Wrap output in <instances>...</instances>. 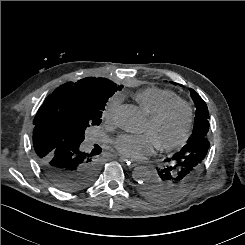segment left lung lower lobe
Returning a JSON list of instances; mask_svg holds the SVG:
<instances>
[{
  "label": "left lung lower lobe",
  "mask_w": 245,
  "mask_h": 245,
  "mask_svg": "<svg viewBox=\"0 0 245 245\" xmlns=\"http://www.w3.org/2000/svg\"><path fill=\"white\" fill-rule=\"evenodd\" d=\"M210 143L206 138H200L187 144L166 164L157 169L158 175L144 182L140 192L156 202H166L182 193L198 174Z\"/></svg>",
  "instance_id": "1"
}]
</instances>
